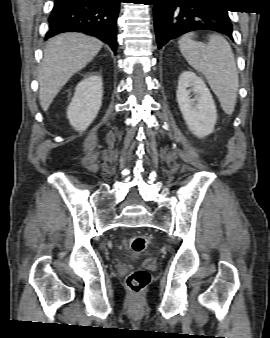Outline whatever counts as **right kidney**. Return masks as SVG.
Wrapping results in <instances>:
<instances>
[{
    "label": "right kidney",
    "mask_w": 270,
    "mask_h": 338,
    "mask_svg": "<svg viewBox=\"0 0 270 338\" xmlns=\"http://www.w3.org/2000/svg\"><path fill=\"white\" fill-rule=\"evenodd\" d=\"M102 85V78L92 75L76 86L67 108V118L76 131H85L96 118L102 104Z\"/></svg>",
    "instance_id": "1"
}]
</instances>
